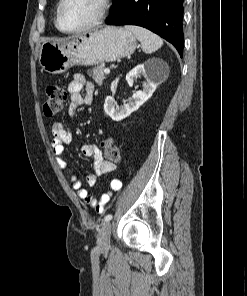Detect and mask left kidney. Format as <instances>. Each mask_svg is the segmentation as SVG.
I'll return each mask as SVG.
<instances>
[{
	"label": "left kidney",
	"instance_id": "1",
	"mask_svg": "<svg viewBox=\"0 0 247 296\" xmlns=\"http://www.w3.org/2000/svg\"><path fill=\"white\" fill-rule=\"evenodd\" d=\"M156 64V60H149L143 64L137 65L126 75V80L131 87L138 76L142 75L146 78V82L143 84V89L134 93L128 103L118 107L112 97H106L104 111L112 120H123L131 113L138 110L139 107L152 96L157 88L158 82V77L153 73Z\"/></svg>",
	"mask_w": 247,
	"mask_h": 296
}]
</instances>
